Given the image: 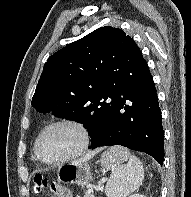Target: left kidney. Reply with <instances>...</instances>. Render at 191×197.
Wrapping results in <instances>:
<instances>
[{"label":"left kidney","mask_w":191,"mask_h":197,"mask_svg":"<svg viewBox=\"0 0 191 197\" xmlns=\"http://www.w3.org/2000/svg\"><path fill=\"white\" fill-rule=\"evenodd\" d=\"M129 197H146V196H144L142 194L135 193V194L130 195Z\"/></svg>","instance_id":"obj_1"}]
</instances>
